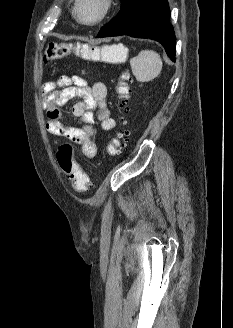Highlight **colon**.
Masks as SVG:
<instances>
[{
	"instance_id": "5ec220e1",
	"label": "colon",
	"mask_w": 233,
	"mask_h": 328,
	"mask_svg": "<svg viewBox=\"0 0 233 328\" xmlns=\"http://www.w3.org/2000/svg\"><path fill=\"white\" fill-rule=\"evenodd\" d=\"M68 55H75L88 61H117L125 58L126 53L117 45H106L102 47H93L87 43L69 42V43H50L44 53V62L59 60ZM130 76L123 73L116 86L119 108L127 112L129 109L130 96ZM128 131L125 128L120 129L110 140L107 152L113 157L117 156L126 144ZM57 160L64 172L71 180L75 190L84 192L91 187L90 180L82 167L74 157V149L68 142L59 145L57 151Z\"/></svg>"
}]
</instances>
